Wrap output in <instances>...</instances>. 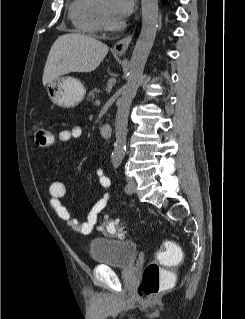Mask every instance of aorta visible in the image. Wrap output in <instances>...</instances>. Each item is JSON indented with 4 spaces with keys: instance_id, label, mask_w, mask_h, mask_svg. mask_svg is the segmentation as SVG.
I'll return each mask as SVG.
<instances>
[{
    "instance_id": "1",
    "label": "aorta",
    "mask_w": 245,
    "mask_h": 319,
    "mask_svg": "<svg viewBox=\"0 0 245 319\" xmlns=\"http://www.w3.org/2000/svg\"><path fill=\"white\" fill-rule=\"evenodd\" d=\"M141 7L142 28L132 53L127 82L123 87L115 120L116 141L111 157L117 162L125 156L130 106L137 93L158 27V0H141Z\"/></svg>"
}]
</instances>
